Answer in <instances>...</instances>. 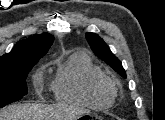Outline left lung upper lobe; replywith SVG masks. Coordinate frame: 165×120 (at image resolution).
Here are the masks:
<instances>
[{
    "label": "left lung upper lobe",
    "instance_id": "5c2ea615",
    "mask_svg": "<svg viewBox=\"0 0 165 120\" xmlns=\"http://www.w3.org/2000/svg\"><path fill=\"white\" fill-rule=\"evenodd\" d=\"M85 37L93 52L107 64H109L122 77L126 78V73L121 61L110 51L106 43L95 33H86Z\"/></svg>",
    "mask_w": 165,
    "mask_h": 120
}]
</instances>
